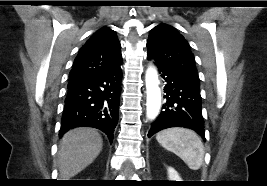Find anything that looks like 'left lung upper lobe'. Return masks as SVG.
<instances>
[{"mask_svg": "<svg viewBox=\"0 0 267 186\" xmlns=\"http://www.w3.org/2000/svg\"><path fill=\"white\" fill-rule=\"evenodd\" d=\"M148 59L200 85L195 58L185 38L175 28L160 24L154 27L147 41Z\"/></svg>", "mask_w": 267, "mask_h": 186, "instance_id": "obj_1", "label": "left lung upper lobe"}]
</instances>
